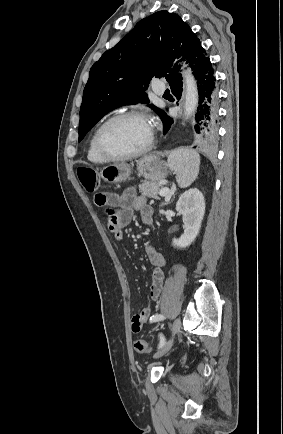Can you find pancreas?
I'll return each instance as SVG.
<instances>
[{
    "label": "pancreas",
    "mask_w": 283,
    "mask_h": 434,
    "mask_svg": "<svg viewBox=\"0 0 283 434\" xmlns=\"http://www.w3.org/2000/svg\"><path fill=\"white\" fill-rule=\"evenodd\" d=\"M161 188L162 186L159 182H150L145 180L139 185V192L149 198L157 199Z\"/></svg>",
    "instance_id": "1"
}]
</instances>
